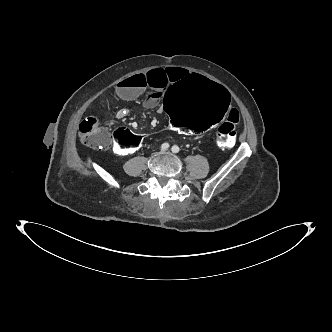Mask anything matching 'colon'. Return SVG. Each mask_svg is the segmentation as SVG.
I'll list each match as a JSON object with an SVG mask.
<instances>
[{
	"label": "colon",
	"instance_id": "5ec220e1",
	"mask_svg": "<svg viewBox=\"0 0 332 332\" xmlns=\"http://www.w3.org/2000/svg\"><path fill=\"white\" fill-rule=\"evenodd\" d=\"M234 109L231 91L200 74L184 76L168 89L164 98L165 115L172 127L187 134H198L220 125L217 143L224 148L236 143ZM79 137L84 145L103 147L110 155L130 157L141 146L139 135L123 124L115 123L106 129L94 117L82 120Z\"/></svg>",
	"mask_w": 332,
	"mask_h": 332
}]
</instances>
